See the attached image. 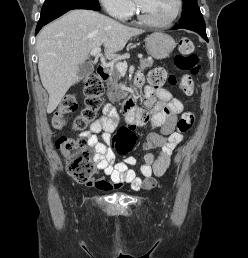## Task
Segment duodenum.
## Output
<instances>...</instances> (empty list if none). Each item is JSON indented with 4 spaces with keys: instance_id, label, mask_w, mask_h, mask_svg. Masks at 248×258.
Returning <instances> with one entry per match:
<instances>
[{
    "instance_id": "1",
    "label": "duodenum",
    "mask_w": 248,
    "mask_h": 258,
    "mask_svg": "<svg viewBox=\"0 0 248 258\" xmlns=\"http://www.w3.org/2000/svg\"><path fill=\"white\" fill-rule=\"evenodd\" d=\"M97 74L99 75V77L102 80H107L109 78V70L105 67H101L99 66L97 69ZM139 78L136 76L135 78V84L138 83ZM133 95H131L124 103V107H123V113L125 115L126 118H129L133 111L135 110L136 106L133 103Z\"/></svg>"
}]
</instances>
